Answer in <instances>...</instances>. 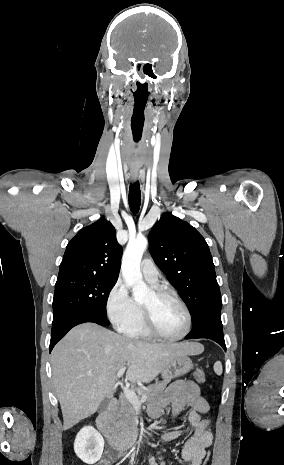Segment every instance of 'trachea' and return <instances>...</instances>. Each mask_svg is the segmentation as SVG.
Listing matches in <instances>:
<instances>
[{"mask_svg":"<svg viewBox=\"0 0 284 465\" xmlns=\"http://www.w3.org/2000/svg\"><path fill=\"white\" fill-rule=\"evenodd\" d=\"M128 200L130 210L133 212V214H137L139 212L141 204V191L138 181L134 182L133 184H130Z\"/></svg>","mask_w":284,"mask_h":465,"instance_id":"trachea-1","label":"trachea"}]
</instances>
